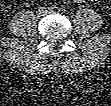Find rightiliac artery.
Listing matches in <instances>:
<instances>
[{
	"label": "right iliac artery",
	"instance_id": "obj_1",
	"mask_svg": "<svg viewBox=\"0 0 111 106\" xmlns=\"http://www.w3.org/2000/svg\"><path fill=\"white\" fill-rule=\"evenodd\" d=\"M56 9H58V7H57L56 5H52V6L50 7V10H56Z\"/></svg>",
	"mask_w": 111,
	"mask_h": 106
}]
</instances>
